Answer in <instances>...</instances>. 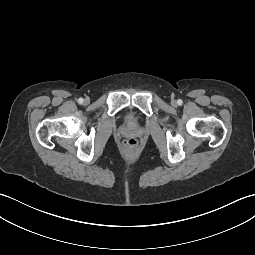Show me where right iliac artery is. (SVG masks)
Returning <instances> with one entry per match:
<instances>
[{
	"label": "right iliac artery",
	"instance_id": "right-iliac-artery-1",
	"mask_svg": "<svg viewBox=\"0 0 255 255\" xmlns=\"http://www.w3.org/2000/svg\"><path fill=\"white\" fill-rule=\"evenodd\" d=\"M83 101H84L83 98H79V99H78V102H79L80 104H82Z\"/></svg>",
	"mask_w": 255,
	"mask_h": 255
}]
</instances>
